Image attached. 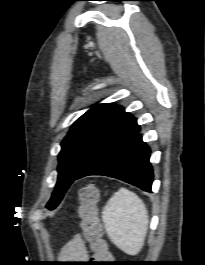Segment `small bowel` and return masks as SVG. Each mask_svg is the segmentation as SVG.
<instances>
[{
  "mask_svg": "<svg viewBox=\"0 0 205 265\" xmlns=\"http://www.w3.org/2000/svg\"><path fill=\"white\" fill-rule=\"evenodd\" d=\"M62 261H73L72 263H84L89 259V253L82 238L75 235L61 250Z\"/></svg>",
  "mask_w": 205,
  "mask_h": 265,
  "instance_id": "1",
  "label": "small bowel"
}]
</instances>
